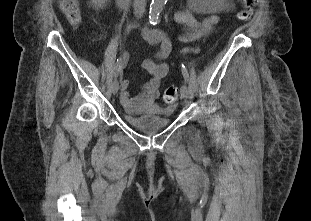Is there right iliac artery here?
<instances>
[{
    "mask_svg": "<svg viewBox=\"0 0 311 221\" xmlns=\"http://www.w3.org/2000/svg\"><path fill=\"white\" fill-rule=\"evenodd\" d=\"M150 24H155L154 21H150ZM122 67V58L117 59V62L114 67V77L115 79L118 77L120 69Z\"/></svg>",
    "mask_w": 311,
    "mask_h": 221,
    "instance_id": "1",
    "label": "right iliac artery"
}]
</instances>
